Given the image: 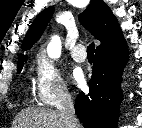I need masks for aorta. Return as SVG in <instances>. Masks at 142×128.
Listing matches in <instances>:
<instances>
[{"instance_id":"762f6f07","label":"aorta","mask_w":142,"mask_h":128,"mask_svg":"<svg viewBox=\"0 0 142 128\" xmlns=\"http://www.w3.org/2000/svg\"><path fill=\"white\" fill-rule=\"evenodd\" d=\"M61 40L58 36H53L51 42L49 43L47 47L48 54L51 57H58L61 54Z\"/></svg>"}]
</instances>
